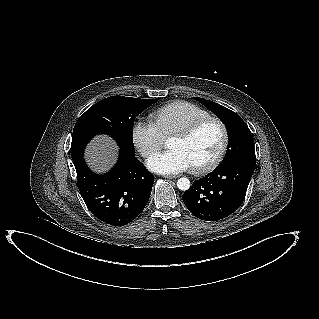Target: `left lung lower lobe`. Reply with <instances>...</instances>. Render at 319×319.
<instances>
[{
	"label": "left lung lower lobe",
	"instance_id": "obj_1",
	"mask_svg": "<svg viewBox=\"0 0 319 319\" xmlns=\"http://www.w3.org/2000/svg\"><path fill=\"white\" fill-rule=\"evenodd\" d=\"M254 170L255 164L245 161L217 166L184 192V204L204 221L224 219L243 203Z\"/></svg>",
	"mask_w": 319,
	"mask_h": 319
}]
</instances>
